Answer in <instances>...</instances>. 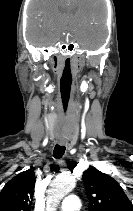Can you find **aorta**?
<instances>
[{
	"mask_svg": "<svg viewBox=\"0 0 133 211\" xmlns=\"http://www.w3.org/2000/svg\"><path fill=\"white\" fill-rule=\"evenodd\" d=\"M76 186L73 177L60 176L53 180L47 196V210L56 211L57 206L64 196L71 192Z\"/></svg>",
	"mask_w": 133,
	"mask_h": 211,
	"instance_id": "aorta-1",
	"label": "aorta"
}]
</instances>
